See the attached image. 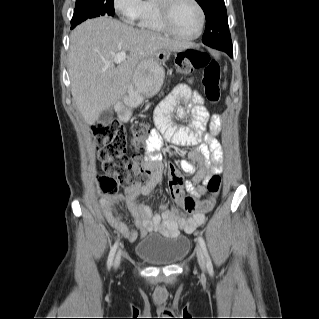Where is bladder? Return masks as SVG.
Returning a JSON list of instances; mask_svg holds the SVG:
<instances>
[{"instance_id": "31cf9c89", "label": "bladder", "mask_w": 319, "mask_h": 319, "mask_svg": "<svg viewBox=\"0 0 319 319\" xmlns=\"http://www.w3.org/2000/svg\"><path fill=\"white\" fill-rule=\"evenodd\" d=\"M190 249L186 235H146L136 246L135 254L150 266L173 265L184 258Z\"/></svg>"}]
</instances>
